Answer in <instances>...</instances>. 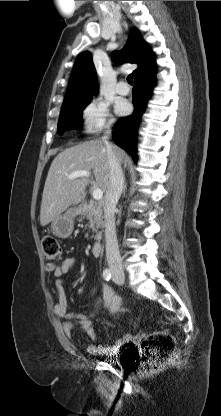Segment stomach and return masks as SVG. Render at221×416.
Instances as JSON below:
<instances>
[{
	"instance_id": "1",
	"label": "stomach",
	"mask_w": 221,
	"mask_h": 416,
	"mask_svg": "<svg viewBox=\"0 0 221 416\" xmlns=\"http://www.w3.org/2000/svg\"><path fill=\"white\" fill-rule=\"evenodd\" d=\"M77 211H69L59 215L51 222V231L56 237L66 239L71 236L74 229V219Z\"/></svg>"
}]
</instances>
